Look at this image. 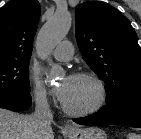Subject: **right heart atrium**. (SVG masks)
<instances>
[{
  "label": "right heart atrium",
  "mask_w": 141,
  "mask_h": 139,
  "mask_svg": "<svg viewBox=\"0 0 141 139\" xmlns=\"http://www.w3.org/2000/svg\"><path fill=\"white\" fill-rule=\"evenodd\" d=\"M28 82L34 100L40 105H47L50 102V93L32 71L28 74Z\"/></svg>",
  "instance_id": "obj_1"
}]
</instances>
